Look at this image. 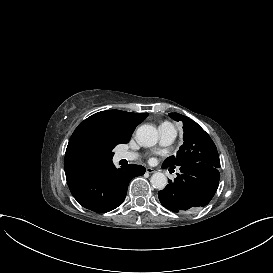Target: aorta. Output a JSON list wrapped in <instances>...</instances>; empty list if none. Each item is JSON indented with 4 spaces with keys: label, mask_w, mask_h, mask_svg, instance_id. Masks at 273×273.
<instances>
[{
    "label": "aorta",
    "mask_w": 273,
    "mask_h": 273,
    "mask_svg": "<svg viewBox=\"0 0 273 273\" xmlns=\"http://www.w3.org/2000/svg\"><path fill=\"white\" fill-rule=\"evenodd\" d=\"M137 141L144 147L154 146L158 142L157 129L149 124L140 126L136 131ZM152 186L158 190H163L167 185V177L161 172H156L151 176Z\"/></svg>",
    "instance_id": "762f6f07"
}]
</instances>
